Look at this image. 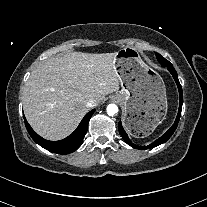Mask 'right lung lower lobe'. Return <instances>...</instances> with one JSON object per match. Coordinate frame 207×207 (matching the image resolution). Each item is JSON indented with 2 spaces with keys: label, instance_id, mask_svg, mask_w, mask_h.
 Returning a JSON list of instances; mask_svg holds the SVG:
<instances>
[{
  "label": "right lung lower lobe",
  "instance_id": "98d812e1",
  "mask_svg": "<svg viewBox=\"0 0 207 207\" xmlns=\"http://www.w3.org/2000/svg\"><path fill=\"white\" fill-rule=\"evenodd\" d=\"M94 111L95 109L87 113L85 117L82 119L77 129L67 138L60 141H48L43 139L31 128V126L26 121L25 117L24 122L28 133L37 144L53 153L68 154L77 150L82 144L84 136L87 132L88 122L91 116L93 115Z\"/></svg>",
  "mask_w": 207,
  "mask_h": 207
}]
</instances>
